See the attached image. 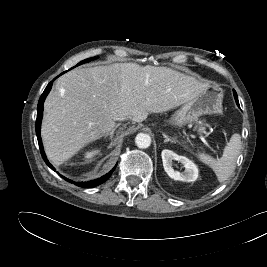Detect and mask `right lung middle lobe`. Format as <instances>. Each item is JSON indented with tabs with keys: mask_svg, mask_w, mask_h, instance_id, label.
I'll list each match as a JSON object with an SVG mask.
<instances>
[{
	"mask_svg": "<svg viewBox=\"0 0 267 267\" xmlns=\"http://www.w3.org/2000/svg\"><path fill=\"white\" fill-rule=\"evenodd\" d=\"M91 59H95V58L93 57V58L85 59V60L81 61L80 63H78L77 66L80 65V64L89 62Z\"/></svg>",
	"mask_w": 267,
	"mask_h": 267,
	"instance_id": "dd1d6c3e",
	"label": "right lung middle lobe"
}]
</instances>
